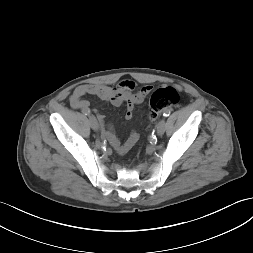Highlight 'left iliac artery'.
<instances>
[{
    "label": "left iliac artery",
    "mask_w": 253,
    "mask_h": 253,
    "mask_svg": "<svg viewBox=\"0 0 253 253\" xmlns=\"http://www.w3.org/2000/svg\"><path fill=\"white\" fill-rule=\"evenodd\" d=\"M170 115V110H165L163 116L168 117Z\"/></svg>",
    "instance_id": "left-iliac-artery-1"
}]
</instances>
